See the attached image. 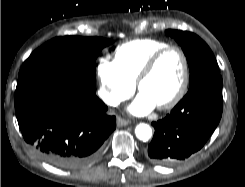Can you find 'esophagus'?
Returning a JSON list of instances; mask_svg holds the SVG:
<instances>
[{"instance_id":"34e87169","label":"esophagus","mask_w":245,"mask_h":187,"mask_svg":"<svg viewBox=\"0 0 245 187\" xmlns=\"http://www.w3.org/2000/svg\"><path fill=\"white\" fill-rule=\"evenodd\" d=\"M128 124H130V121L129 120L123 119L121 117H118L117 118V126L118 127H123V126H126Z\"/></svg>"}]
</instances>
